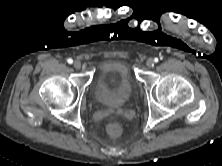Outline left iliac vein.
Here are the masks:
<instances>
[{
  "label": "left iliac vein",
  "instance_id": "4c4485c4",
  "mask_svg": "<svg viewBox=\"0 0 222 166\" xmlns=\"http://www.w3.org/2000/svg\"><path fill=\"white\" fill-rule=\"evenodd\" d=\"M154 64V60L149 58L147 61H146V66L151 68Z\"/></svg>",
  "mask_w": 222,
  "mask_h": 166
}]
</instances>
